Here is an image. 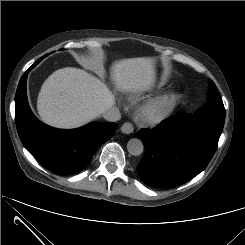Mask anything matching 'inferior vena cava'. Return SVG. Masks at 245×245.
I'll return each mask as SVG.
<instances>
[{
  "instance_id": "inferior-vena-cava-1",
  "label": "inferior vena cava",
  "mask_w": 245,
  "mask_h": 245,
  "mask_svg": "<svg viewBox=\"0 0 245 245\" xmlns=\"http://www.w3.org/2000/svg\"><path fill=\"white\" fill-rule=\"evenodd\" d=\"M103 117L107 121L116 122L120 120L121 114L118 108L111 107L110 109L104 112Z\"/></svg>"
}]
</instances>
